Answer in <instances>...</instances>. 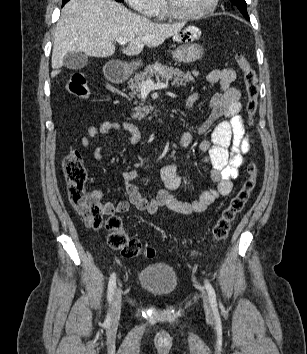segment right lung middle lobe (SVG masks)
Instances as JSON below:
<instances>
[{
  "instance_id": "dd1d6c3e",
  "label": "right lung middle lobe",
  "mask_w": 307,
  "mask_h": 354,
  "mask_svg": "<svg viewBox=\"0 0 307 354\" xmlns=\"http://www.w3.org/2000/svg\"><path fill=\"white\" fill-rule=\"evenodd\" d=\"M116 1H118V2H123V0H116Z\"/></svg>"
}]
</instances>
